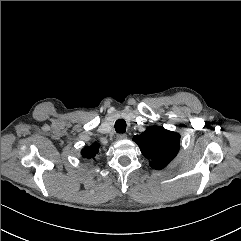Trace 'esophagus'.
<instances>
[{
    "instance_id": "34e87169",
    "label": "esophagus",
    "mask_w": 241,
    "mask_h": 241,
    "mask_svg": "<svg viewBox=\"0 0 241 241\" xmlns=\"http://www.w3.org/2000/svg\"><path fill=\"white\" fill-rule=\"evenodd\" d=\"M126 138H127L126 134H118L117 135V140H123V139H126Z\"/></svg>"
}]
</instances>
